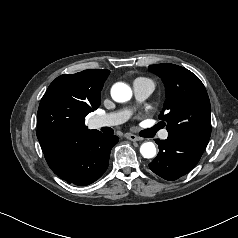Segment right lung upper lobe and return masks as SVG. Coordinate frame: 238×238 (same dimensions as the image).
<instances>
[{
	"mask_svg": "<svg viewBox=\"0 0 238 238\" xmlns=\"http://www.w3.org/2000/svg\"><path fill=\"white\" fill-rule=\"evenodd\" d=\"M109 70H84L57 77L41 99L37 138L44 154L60 148L77 132L87 129L85 117L100 105V91Z\"/></svg>",
	"mask_w": 238,
	"mask_h": 238,
	"instance_id": "right-lung-upper-lobe-1",
	"label": "right lung upper lobe"
}]
</instances>
